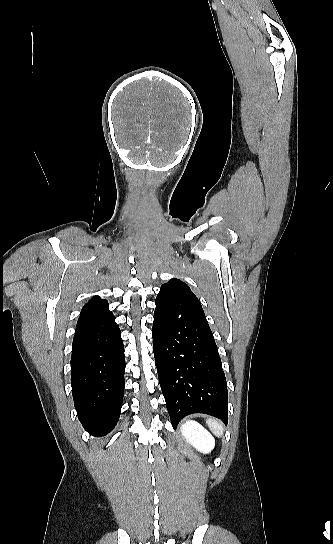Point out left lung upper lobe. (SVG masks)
Here are the masks:
<instances>
[{
  "label": "left lung upper lobe",
  "mask_w": 333,
  "mask_h": 544,
  "mask_svg": "<svg viewBox=\"0 0 333 544\" xmlns=\"http://www.w3.org/2000/svg\"><path fill=\"white\" fill-rule=\"evenodd\" d=\"M170 297L198 301L197 297L190 290L189 286L181 280L175 278L161 286L156 301H164Z\"/></svg>",
  "instance_id": "left-lung-upper-lobe-1"
}]
</instances>
